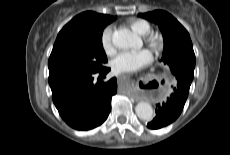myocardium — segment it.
<instances>
[{
	"instance_id": "obj_1",
	"label": "myocardium",
	"mask_w": 230,
	"mask_h": 155,
	"mask_svg": "<svg viewBox=\"0 0 230 155\" xmlns=\"http://www.w3.org/2000/svg\"><path fill=\"white\" fill-rule=\"evenodd\" d=\"M148 42L150 44V46L155 49V50H158L161 46V38L159 35L157 34H151L149 37H148Z\"/></svg>"
}]
</instances>
